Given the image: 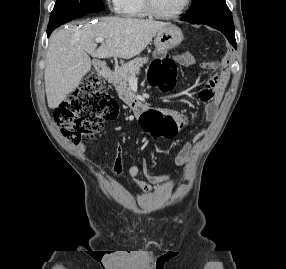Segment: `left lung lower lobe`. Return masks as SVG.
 Segmentation results:
<instances>
[{
	"label": "left lung lower lobe",
	"mask_w": 286,
	"mask_h": 269,
	"mask_svg": "<svg viewBox=\"0 0 286 269\" xmlns=\"http://www.w3.org/2000/svg\"><path fill=\"white\" fill-rule=\"evenodd\" d=\"M208 25L210 27H213L219 31H221L228 39V41L233 45V47L236 49L237 48V44L235 41V30L232 28H228L225 26H220V25H213V24H205Z\"/></svg>",
	"instance_id": "0a47b994"
}]
</instances>
